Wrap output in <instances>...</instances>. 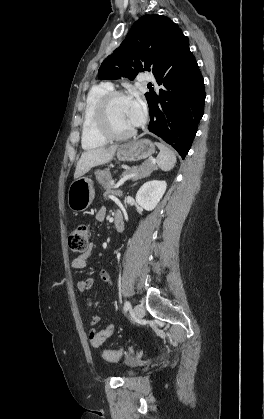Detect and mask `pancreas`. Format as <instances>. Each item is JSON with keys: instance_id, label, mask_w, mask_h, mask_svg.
<instances>
[{"instance_id": "cf45deb5", "label": "pancreas", "mask_w": 264, "mask_h": 419, "mask_svg": "<svg viewBox=\"0 0 264 419\" xmlns=\"http://www.w3.org/2000/svg\"><path fill=\"white\" fill-rule=\"evenodd\" d=\"M156 166L151 162L147 161L146 163L142 164L141 166L134 167L131 169H127L122 175L130 174L136 172L137 175L132 177V180H137L139 178L145 177L149 175ZM97 182L107 191L111 190L114 187V182L112 180L111 173L108 169L105 170H98L95 173Z\"/></svg>"}]
</instances>
